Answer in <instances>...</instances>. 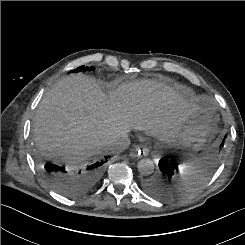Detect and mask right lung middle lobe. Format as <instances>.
<instances>
[{
  "label": "right lung middle lobe",
  "mask_w": 245,
  "mask_h": 245,
  "mask_svg": "<svg viewBox=\"0 0 245 245\" xmlns=\"http://www.w3.org/2000/svg\"><path fill=\"white\" fill-rule=\"evenodd\" d=\"M91 70H95V68L94 67L89 68V67L80 66L76 70L70 71V73H77L79 71L85 72V71H91ZM102 169H103V167H102Z\"/></svg>",
  "instance_id": "obj_1"
}]
</instances>
